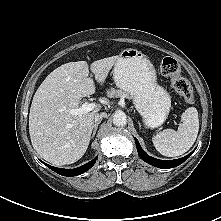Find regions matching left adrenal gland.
<instances>
[{
	"instance_id": "1",
	"label": "left adrenal gland",
	"mask_w": 221,
	"mask_h": 221,
	"mask_svg": "<svg viewBox=\"0 0 221 221\" xmlns=\"http://www.w3.org/2000/svg\"><path fill=\"white\" fill-rule=\"evenodd\" d=\"M138 124H139V126L141 127V124H140V122L138 121Z\"/></svg>"
}]
</instances>
